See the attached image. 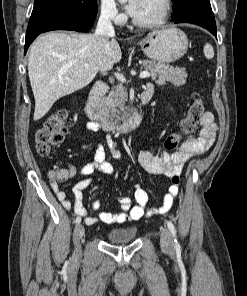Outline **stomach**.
Instances as JSON below:
<instances>
[{
	"label": "stomach",
	"instance_id": "stomach-1",
	"mask_svg": "<svg viewBox=\"0 0 247 296\" xmlns=\"http://www.w3.org/2000/svg\"><path fill=\"white\" fill-rule=\"evenodd\" d=\"M139 45L143 52L155 62L172 63L182 58L188 49L186 34L173 26L154 31Z\"/></svg>",
	"mask_w": 247,
	"mask_h": 296
}]
</instances>
